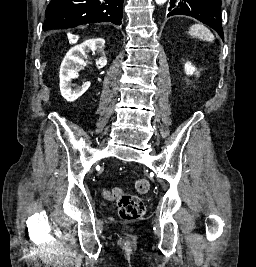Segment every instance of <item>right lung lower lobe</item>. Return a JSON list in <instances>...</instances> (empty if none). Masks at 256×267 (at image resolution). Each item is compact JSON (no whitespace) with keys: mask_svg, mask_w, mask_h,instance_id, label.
Masks as SVG:
<instances>
[{"mask_svg":"<svg viewBox=\"0 0 256 267\" xmlns=\"http://www.w3.org/2000/svg\"><path fill=\"white\" fill-rule=\"evenodd\" d=\"M123 0H51L43 30L67 29L96 22L121 24Z\"/></svg>","mask_w":256,"mask_h":267,"instance_id":"obj_1","label":"right lung lower lobe"}]
</instances>
